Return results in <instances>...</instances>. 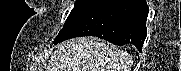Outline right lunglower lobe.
Listing matches in <instances>:
<instances>
[{"label": "right lung lower lobe", "mask_w": 181, "mask_h": 71, "mask_svg": "<svg viewBox=\"0 0 181 71\" xmlns=\"http://www.w3.org/2000/svg\"><path fill=\"white\" fill-rule=\"evenodd\" d=\"M145 0H94L64 25L54 44L79 36H96L115 45H133L140 52L147 35Z\"/></svg>", "instance_id": "98d812e1"}]
</instances>
